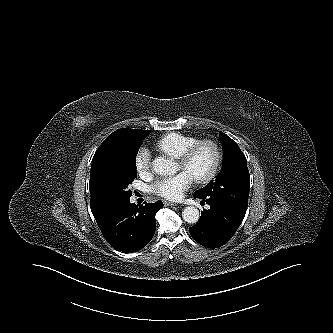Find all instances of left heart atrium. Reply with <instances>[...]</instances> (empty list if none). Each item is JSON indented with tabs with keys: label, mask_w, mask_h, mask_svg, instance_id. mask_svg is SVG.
<instances>
[{
	"label": "left heart atrium",
	"mask_w": 333,
	"mask_h": 333,
	"mask_svg": "<svg viewBox=\"0 0 333 333\" xmlns=\"http://www.w3.org/2000/svg\"><path fill=\"white\" fill-rule=\"evenodd\" d=\"M193 182V178L187 172L182 171L174 176L162 177L155 181L151 190L160 197L169 200L180 199L184 192L188 190Z\"/></svg>",
	"instance_id": "obj_1"
}]
</instances>
